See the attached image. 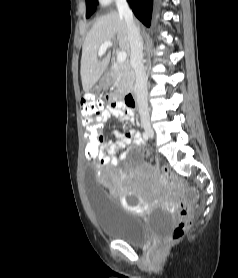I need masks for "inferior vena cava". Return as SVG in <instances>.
I'll return each mask as SVG.
<instances>
[{"label": "inferior vena cava", "instance_id": "602c4592", "mask_svg": "<svg viewBox=\"0 0 238 278\" xmlns=\"http://www.w3.org/2000/svg\"><path fill=\"white\" fill-rule=\"evenodd\" d=\"M119 14L126 21L131 48V64L135 71V96L139 108L141 122L144 127H150V116L148 107L147 76L143 61V40L139 27L135 24L133 13L126 0H116Z\"/></svg>", "mask_w": 238, "mask_h": 278}]
</instances>
